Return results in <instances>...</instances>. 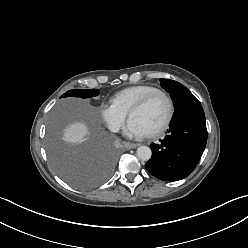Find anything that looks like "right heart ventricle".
<instances>
[{
  "mask_svg": "<svg viewBox=\"0 0 248 248\" xmlns=\"http://www.w3.org/2000/svg\"><path fill=\"white\" fill-rule=\"evenodd\" d=\"M158 90L152 85H134L118 91L112 97V102L118 105L122 110L128 112L129 109L145 95Z\"/></svg>",
  "mask_w": 248,
  "mask_h": 248,
  "instance_id": "right-heart-ventricle-1",
  "label": "right heart ventricle"
}]
</instances>
